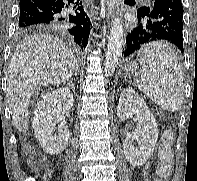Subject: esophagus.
Returning <instances> with one entry per match:
<instances>
[{
	"label": "esophagus",
	"mask_w": 197,
	"mask_h": 181,
	"mask_svg": "<svg viewBox=\"0 0 197 181\" xmlns=\"http://www.w3.org/2000/svg\"><path fill=\"white\" fill-rule=\"evenodd\" d=\"M116 0H105L108 16L114 15Z\"/></svg>",
	"instance_id": "1"
}]
</instances>
